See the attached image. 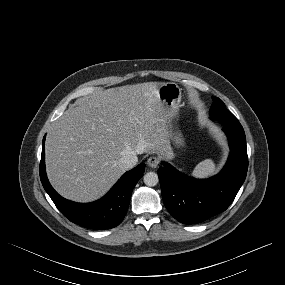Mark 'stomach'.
I'll return each instance as SVG.
<instances>
[{
  "label": "stomach",
  "instance_id": "1",
  "mask_svg": "<svg viewBox=\"0 0 285 285\" xmlns=\"http://www.w3.org/2000/svg\"><path fill=\"white\" fill-rule=\"evenodd\" d=\"M159 97L164 104L174 115L176 114L181 98H182V89L176 83H163L158 90ZM177 143H181L179 137H175Z\"/></svg>",
  "mask_w": 285,
  "mask_h": 285
}]
</instances>
